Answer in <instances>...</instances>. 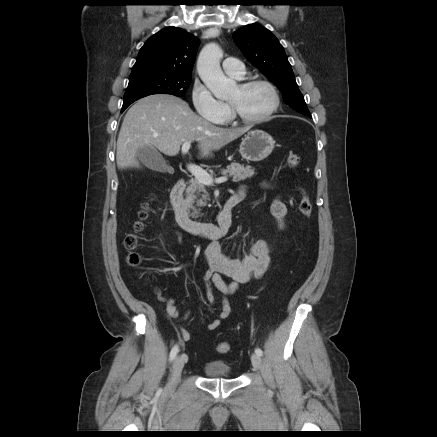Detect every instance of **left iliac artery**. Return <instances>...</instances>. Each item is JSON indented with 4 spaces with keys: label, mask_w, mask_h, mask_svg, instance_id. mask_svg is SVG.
Here are the masks:
<instances>
[{
    "label": "left iliac artery",
    "mask_w": 437,
    "mask_h": 437,
    "mask_svg": "<svg viewBox=\"0 0 437 437\" xmlns=\"http://www.w3.org/2000/svg\"><path fill=\"white\" fill-rule=\"evenodd\" d=\"M255 353H256L257 355H259V356H262V355H263V352H262V350H261L260 348H256V349H255Z\"/></svg>",
    "instance_id": "left-iliac-artery-1"
}]
</instances>
